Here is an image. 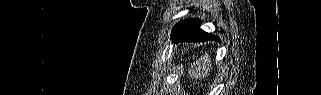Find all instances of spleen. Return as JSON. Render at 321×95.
<instances>
[{
	"label": "spleen",
	"mask_w": 321,
	"mask_h": 95,
	"mask_svg": "<svg viewBox=\"0 0 321 95\" xmlns=\"http://www.w3.org/2000/svg\"><path fill=\"white\" fill-rule=\"evenodd\" d=\"M212 69V59L209 54L201 56L194 64L193 69L190 71V76L193 79L201 80L209 76V72Z\"/></svg>",
	"instance_id": "obj_1"
}]
</instances>
